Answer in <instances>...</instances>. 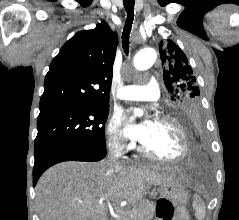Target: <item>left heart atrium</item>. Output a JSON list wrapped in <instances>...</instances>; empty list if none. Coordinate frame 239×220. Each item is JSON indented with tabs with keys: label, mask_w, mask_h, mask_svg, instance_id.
<instances>
[{
	"label": "left heart atrium",
	"mask_w": 239,
	"mask_h": 220,
	"mask_svg": "<svg viewBox=\"0 0 239 220\" xmlns=\"http://www.w3.org/2000/svg\"><path fill=\"white\" fill-rule=\"evenodd\" d=\"M127 135L133 140L143 142L148 135L146 123L130 125L127 129Z\"/></svg>",
	"instance_id": "1"
}]
</instances>
